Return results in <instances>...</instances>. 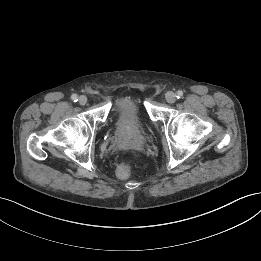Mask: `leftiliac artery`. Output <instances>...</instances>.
Wrapping results in <instances>:
<instances>
[{
  "mask_svg": "<svg viewBox=\"0 0 261 261\" xmlns=\"http://www.w3.org/2000/svg\"><path fill=\"white\" fill-rule=\"evenodd\" d=\"M176 97L179 99V98H182L183 97V92L181 90L177 91L176 93Z\"/></svg>",
  "mask_w": 261,
  "mask_h": 261,
  "instance_id": "1",
  "label": "left iliac artery"
}]
</instances>
